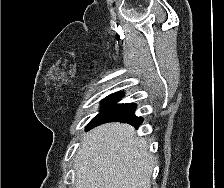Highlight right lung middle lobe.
I'll return each mask as SVG.
<instances>
[{"label": "right lung middle lobe", "mask_w": 224, "mask_h": 188, "mask_svg": "<svg viewBox=\"0 0 224 188\" xmlns=\"http://www.w3.org/2000/svg\"><path fill=\"white\" fill-rule=\"evenodd\" d=\"M120 93V92H119ZM119 93H114V94H111L109 96H107L104 100H103V104H107L111 99H113L116 95H118Z\"/></svg>", "instance_id": "obj_1"}]
</instances>
